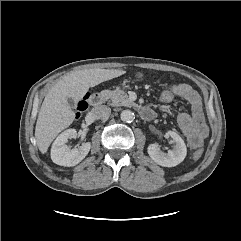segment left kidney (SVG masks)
I'll return each mask as SVG.
<instances>
[{"mask_svg": "<svg viewBox=\"0 0 241 241\" xmlns=\"http://www.w3.org/2000/svg\"><path fill=\"white\" fill-rule=\"evenodd\" d=\"M167 136H170L175 142L173 150H169L168 153H163L156 143L150 144L147 150L151 159L158 165L174 167L185 159L187 149L183 139L177 133L168 131Z\"/></svg>", "mask_w": 241, "mask_h": 241, "instance_id": "5707ae66", "label": "left kidney"}]
</instances>
